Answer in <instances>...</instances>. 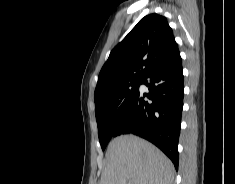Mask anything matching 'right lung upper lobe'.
Segmentation results:
<instances>
[{
	"label": "right lung upper lobe",
	"mask_w": 235,
	"mask_h": 184,
	"mask_svg": "<svg viewBox=\"0 0 235 184\" xmlns=\"http://www.w3.org/2000/svg\"><path fill=\"white\" fill-rule=\"evenodd\" d=\"M178 51L167 19L156 13L143 17L111 51L98 76L95 107L110 103L108 91L143 80L159 63Z\"/></svg>",
	"instance_id": "cb5924a9"
}]
</instances>
